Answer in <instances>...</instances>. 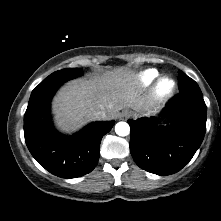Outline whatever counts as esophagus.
I'll return each instance as SVG.
<instances>
[{
  "label": "esophagus",
  "mask_w": 221,
  "mask_h": 221,
  "mask_svg": "<svg viewBox=\"0 0 221 221\" xmlns=\"http://www.w3.org/2000/svg\"><path fill=\"white\" fill-rule=\"evenodd\" d=\"M131 116V113L127 110H123L121 113H119L118 118L120 120H126Z\"/></svg>",
  "instance_id": "34e87169"
}]
</instances>
